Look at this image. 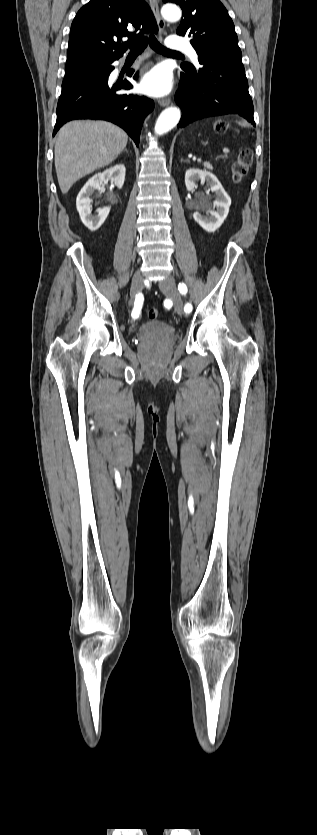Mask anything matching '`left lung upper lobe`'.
Here are the masks:
<instances>
[{
    "mask_svg": "<svg viewBox=\"0 0 317 835\" xmlns=\"http://www.w3.org/2000/svg\"><path fill=\"white\" fill-rule=\"evenodd\" d=\"M176 3L184 18L177 34L189 36L197 53L241 56L234 24L226 8L218 0H163ZM193 67L191 64H182Z\"/></svg>",
    "mask_w": 317,
    "mask_h": 835,
    "instance_id": "5c2ea615",
    "label": "left lung upper lobe"
}]
</instances>
